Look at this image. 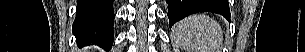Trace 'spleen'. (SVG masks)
Instances as JSON below:
<instances>
[{"instance_id":"obj_1","label":"spleen","mask_w":305,"mask_h":52,"mask_svg":"<svg viewBox=\"0 0 305 52\" xmlns=\"http://www.w3.org/2000/svg\"><path fill=\"white\" fill-rule=\"evenodd\" d=\"M172 35L188 52H220L222 48V28L216 20L201 13L177 22Z\"/></svg>"}]
</instances>
